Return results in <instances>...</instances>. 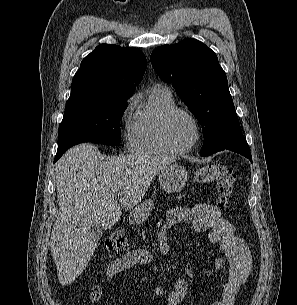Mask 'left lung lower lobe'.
<instances>
[{"instance_id": "obj_1", "label": "left lung lower lobe", "mask_w": 297, "mask_h": 305, "mask_svg": "<svg viewBox=\"0 0 297 305\" xmlns=\"http://www.w3.org/2000/svg\"><path fill=\"white\" fill-rule=\"evenodd\" d=\"M227 150L239 153V154L247 157L252 162V156H251V153H250V148H246V149H227Z\"/></svg>"}]
</instances>
